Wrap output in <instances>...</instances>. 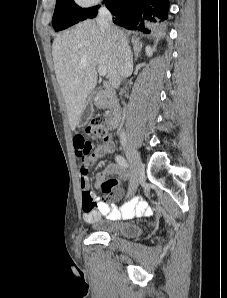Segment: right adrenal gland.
I'll return each instance as SVG.
<instances>
[{
  "instance_id": "1",
  "label": "right adrenal gland",
  "mask_w": 227,
  "mask_h": 298,
  "mask_svg": "<svg viewBox=\"0 0 227 298\" xmlns=\"http://www.w3.org/2000/svg\"><path fill=\"white\" fill-rule=\"evenodd\" d=\"M132 44L134 46V61H137L138 54L142 49V42H140L138 39H132Z\"/></svg>"
}]
</instances>
